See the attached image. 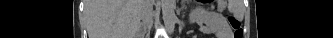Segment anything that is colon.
Listing matches in <instances>:
<instances>
[{
    "label": "colon",
    "mask_w": 333,
    "mask_h": 38,
    "mask_svg": "<svg viewBox=\"0 0 333 38\" xmlns=\"http://www.w3.org/2000/svg\"><path fill=\"white\" fill-rule=\"evenodd\" d=\"M228 21H229L231 27L233 28L234 38H242L243 31H242V26H241L240 21L233 16H229Z\"/></svg>",
    "instance_id": "5ec220e1"
}]
</instances>
